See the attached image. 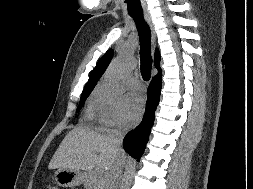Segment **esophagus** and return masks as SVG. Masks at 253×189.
I'll use <instances>...</instances> for the list:
<instances>
[{
	"mask_svg": "<svg viewBox=\"0 0 253 189\" xmlns=\"http://www.w3.org/2000/svg\"><path fill=\"white\" fill-rule=\"evenodd\" d=\"M144 18H145L147 24L150 27L151 35H152V46H153V49H155V47H156V32H155V29H154L153 22H152L149 15H144Z\"/></svg>",
	"mask_w": 253,
	"mask_h": 189,
	"instance_id": "1",
	"label": "esophagus"
}]
</instances>
